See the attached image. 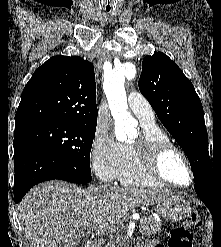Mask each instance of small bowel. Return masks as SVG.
Listing matches in <instances>:
<instances>
[{
	"label": "small bowel",
	"mask_w": 221,
	"mask_h": 247,
	"mask_svg": "<svg viewBox=\"0 0 221 247\" xmlns=\"http://www.w3.org/2000/svg\"><path fill=\"white\" fill-rule=\"evenodd\" d=\"M145 247H161L160 245L148 244Z\"/></svg>",
	"instance_id": "c3829d8e"
}]
</instances>
